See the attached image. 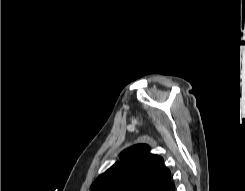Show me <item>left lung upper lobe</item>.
Masks as SVG:
<instances>
[{
	"label": "left lung upper lobe",
	"mask_w": 245,
	"mask_h": 191,
	"mask_svg": "<svg viewBox=\"0 0 245 191\" xmlns=\"http://www.w3.org/2000/svg\"><path fill=\"white\" fill-rule=\"evenodd\" d=\"M91 185L90 191H160L172 179L162 157L146 144L131 146Z\"/></svg>",
	"instance_id": "5c2ea615"
}]
</instances>
